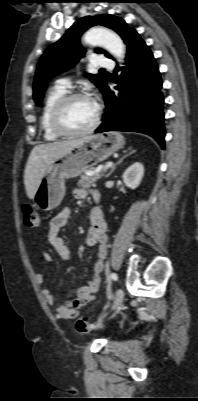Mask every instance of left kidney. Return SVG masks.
Masks as SVG:
<instances>
[{
    "mask_svg": "<svg viewBox=\"0 0 198 401\" xmlns=\"http://www.w3.org/2000/svg\"><path fill=\"white\" fill-rule=\"evenodd\" d=\"M144 175V167L141 163L132 164L123 174V181L130 189H136Z\"/></svg>",
    "mask_w": 198,
    "mask_h": 401,
    "instance_id": "5707ae66",
    "label": "left kidney"
}]
</instances>
